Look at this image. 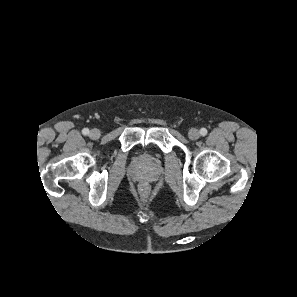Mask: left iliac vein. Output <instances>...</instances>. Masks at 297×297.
<instances>
[{
  "instance_id": "1",
  "label": "left iliac vein",
  "mask_w": 297,
  "mask_h": 297,
  "mask_svg": "<svg viewBox=\"0 0 297 297\" xmlns=\"http://www.w3.org/2000/svg\"><path fill=\"white\" fill-rule=\"evenodd\" d=\"M188 136L191 140H197L200 137V132L197 129L192 128L189 131Z\"/></svg>"
}]
</instances>
